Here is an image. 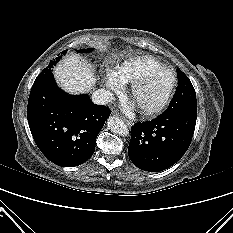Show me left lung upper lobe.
Returning <instances> with one entry per match:
<instances>
[{
	"label": "left lung upper lobe",
	"mask_w": 233,
	"mask_h": 233,
	"mask_svg": "<svg viewBox=\"0 0 233 233\" xmlns=\"http://www.w3.org/2000/svg\"><path fill=\"white\" fill-rule=\"evenodd\" d=\"M178 87L168 106V109H184L197 107L196 93L189 78L177 69Z\"/></svg>",
	"instance_id": "obj_1"
}]
</instances>
